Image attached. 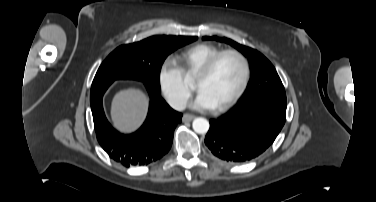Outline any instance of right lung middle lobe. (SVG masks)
<instances>
[{
  "label": "right lung middle lobe",
  "instance_id": "right-lung-middle-lobe-1",
  "mask_svg": "<svg viewBox=\"0 0 376 202\" xmlns=\"http://www.w3.org/2000/svg\"><path fill=\"white\" fill-rule=\"evenodd\" d=\"M197 37L152 36L140 42L122 45L101 64L92 86L104 81L136 79L160 90V70L165 58Z\"/></svg>",
  "mask_w": 376,
  "mask_h": 202
}]
</instances>
